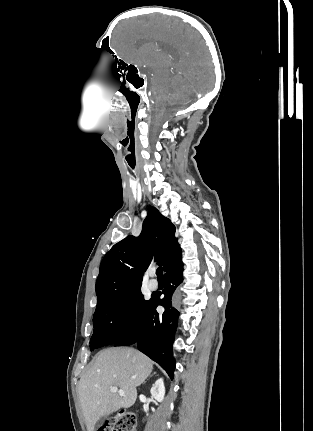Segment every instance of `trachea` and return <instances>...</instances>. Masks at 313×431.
I'll use <instances>...</instances> for the list:
<instances>
[{
	"label": "trachea",
	"instance_id": "trachea-1",
	"mask_svg": "<svg viewBox=\"0 0 313 431\" xmlns=\"http://www.w3.org/2000/svg\"><path fill=\"white\" fill-rule=\"evenodd\" d=\"M156 275L158 279H163V268L159 266L156 270Z\"/></svg>",
	"mask_w": 313,
	"mask_h": 431
}]
</instances>
